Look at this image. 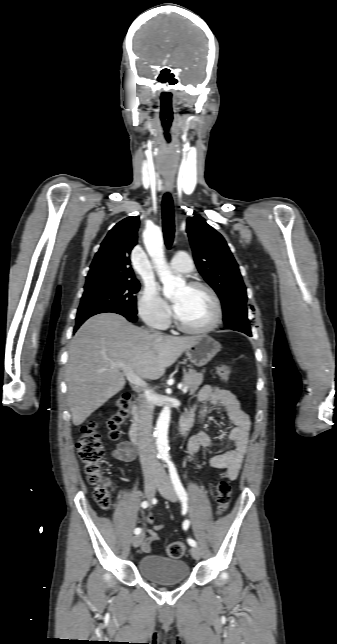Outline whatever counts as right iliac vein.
Here are the masks:
<instances>
[{
	"instance_id": "right-iliac-vein-1",
	"label": "right iliac vein",
	"mask_w": 337,
	"mask_h": 644,
	"mask_svg": "<svg viewBox=\"0 0 337 644\" xmlns=\"http://www.w3.org/2000/svg\"><path fill=\"white\" fill-rule=\"evenodd\" d=\"M159 483V478L155 475H150L147 476L145 479V495L146 497L151 500L155 494L156 487ZM144 538V534H138L132 538V545L137 548L140 546L142 540Z\"/></svg>"
}]
</instances>
